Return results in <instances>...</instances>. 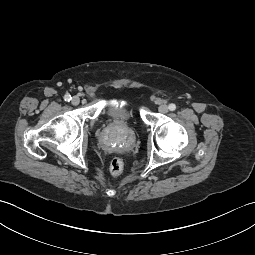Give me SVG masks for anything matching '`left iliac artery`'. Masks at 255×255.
I'll use <instances>...</instances> for the list:
<instances>
[{"instance_id": "44dca946", "label": "left iliac artery", "mask_w": 255, "mask_h": 255, "mask_svg": "<svg viewBox=\"0 0 255 255\" xmlns=\"http://www.w3.org/2000/svg\"><path fill=\"white\" fill-rule=\"evenodd\" d=\"M168 108H169L170 111H174L176 109V105L171 103V104H169Z\"/></svg>"}]
</instances>
